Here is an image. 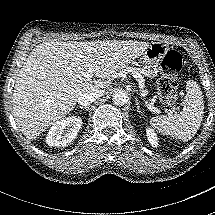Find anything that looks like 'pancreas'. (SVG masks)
<instances>
[{
	"mask_svg": "<svg viewBox=\"0 0 215 215\" xmlns=\"http://www.w3.org/2000/svg\"><path fill=\"white\" fill-rule=\"evenodd\" d=\"M136 72H137V73H139L138 71H136ZM140 78H141V79H143V77H142V76H141Z\"/></svg>",
	"mask_w": 215,
	"mask_h": 215,
	"instance_id": "obj_1",
	"label": "pancreas"
}]
</instances>
